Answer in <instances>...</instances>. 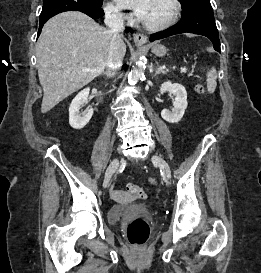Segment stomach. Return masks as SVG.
<instances>
[{"label":"stomach","instance_id":"0dacf381","mask_svg":"<svg viewBox=\"0 0 261 273\" xmlns=\"http://www.w3.org/2000/svg\"><path fill=\"white\" fill-rule=\"evenodd\" d=\"M166 47L160 44H154L152 46V52L157 56H163L166 54Z\"/></svg>","mask_w":261,"mask_h":273}]
</instances>
